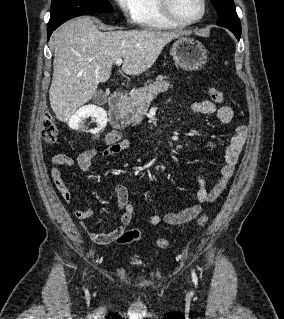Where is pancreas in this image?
Wrapping results in <instances>:
<instances>
[{
  "mask_svg": "<svg viewBox=\"0 0 284 319\" xmlns=\"http://www.w3.org/2000/svg\"><path fill=\"white\" fill-rule=\"evenodd\" d=\"M165 79L167 77L159 75L155 81H148L143 87L130 92V97L121 109V116L128 124H140L153 99L171 87Z\"/></svg>",
  "mask_w": 284,
  "mask_h": 319,
  "instance_id": "cf45deb5",
  "label": "pancreas"
}]
</instances>
